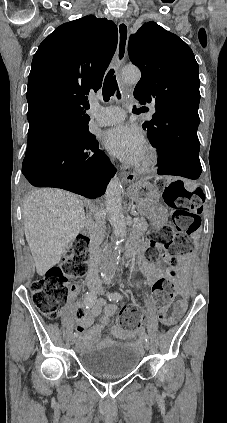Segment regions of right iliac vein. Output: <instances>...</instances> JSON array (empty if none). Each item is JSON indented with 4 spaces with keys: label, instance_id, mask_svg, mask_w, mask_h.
Wrapping results in <instances>:
<instances>
[{
    "label": "right iliac vein",
    "instance_id": "obj_1",
    "mask_svg": "<svg viewBox=\"0 0 227 423\" xmlns=\"http://www.w3.org/2000/svg\"><path fill=\"white\" fill-rule=\"evenodd\" d=\"M91 291L94 292V293H96L97 292V289L96 288H91ZM70 343L71 344H74L75 343V337L74 336H72L70 338Z\"/></svg>",
    "mask_w": 227,
    "mask_h": 423
}]
</instances>
